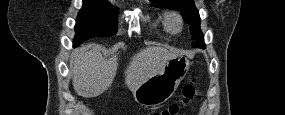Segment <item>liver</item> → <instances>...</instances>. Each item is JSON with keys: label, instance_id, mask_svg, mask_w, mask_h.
<instances>
[{"label": "liver", "instance_id": "liver-1", "mask_svg": "<svg viewBox=\"0 0 285 115\" xmlns=\"http://www.w3.org/2000/svg\"><path fill=\"white\" fill-rule=\"evenodd\" d=\"M177 56L162 47H147L135 54L125 70V84L133 92L150 77L160 73ZM118 67L117 56L104 59L96 44L83 45L73 53L70 72L73 87L80 96H98L113 83Z\"/></svg>", "mask_w": 285, "mask_h": 115}]
</instances>
